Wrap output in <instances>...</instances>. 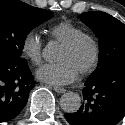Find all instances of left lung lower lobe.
Here are the masks:
<instances>
[{"instance_id": "1", "label": "left lung lower lobe", "mask_w": 125, "mask_h": 125, "mask_svg": "<svg viewBox=\"0 0 125 125\" xmlns=\"http://www.w3.org/2000/svg\"><path fill=\"white\" fill-rule=\"evenodd\" d=\"M85 102L73 114H65L70 125H116L125 116V68H113L88 79Z\"/></svg>"}]
</instances>
